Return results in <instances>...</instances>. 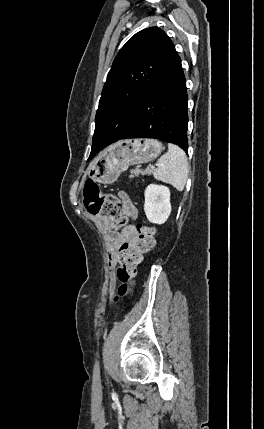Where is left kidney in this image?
<instances>
[{
  "instance_id": "left-kidney-1",
  "label": "left kidney",
  "mask_w": 264,
  "mask_h": 429,
  "mask_svg": "<svg viewBox=\"0 0 264 429\" xmlns=\"http://www.w3.org/2000/svg\"><path fill=\"white\" fill-rule=\"evenodd\" d=\"M144 211L151 223L163 224L171 213L170 191L163 185L150 184L145 189Z\"/></svg>"
}]
</instances>
